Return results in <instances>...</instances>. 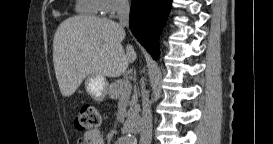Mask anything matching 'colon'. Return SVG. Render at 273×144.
Masks as SVG:
<instances>
[{"instance_id": "1", "label": "colon", "mask_w": 273, "mask_h": 144, "mask_svg": "<svg viewBox=\"0 0 273 144\" xmlns=\"http://www.w3.org/2000/svg\"><path fill=\"white\" fill-rule=\"evenodd\" d=\"M101 122L97 109L91 104H84L76 117L75 125L79 131H91L96 129Z\"/></svg>"}]
</instances>
